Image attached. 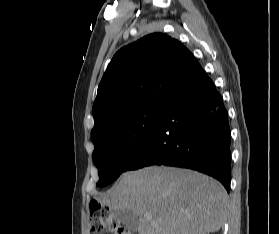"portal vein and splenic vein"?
Instances as JSON below:
<instances>
[{"instance_id":"18ae733b","label":"portal vein and splenic vein","mask_w":279,"mask_h":234,"mask_svg":"<svg viewBox=\"0 0 279 234\" xmlns=\"http://www.w3.org/2000/svg\"><path fill=\"white\" fill-rule=\"evenodd\" d=\"M146 218H147L149 221H152V216H151V215L147 214V215H146Z\"/></svg>"}]
</instances>
